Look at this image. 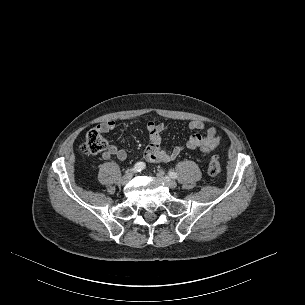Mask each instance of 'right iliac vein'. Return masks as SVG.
<instances>
[{"label":"right iliac vein","instance_id":"right-iliac-vein-1","mask_svg":"<svg viewBox=\"0 0 305 305\" xmlns=\"http://www.w3.org/2000/svg\"><path fill=\"white\" fill-rule=\"evenodd\" d=\"M132 179V173L128 172L127 174H125L122 178H121V184L122 185H127L130 180Z\"/></svg>","mask_w":305,"mask_h":305}]
</instances>
